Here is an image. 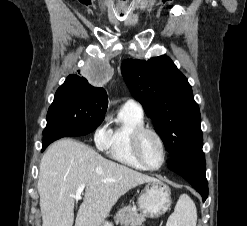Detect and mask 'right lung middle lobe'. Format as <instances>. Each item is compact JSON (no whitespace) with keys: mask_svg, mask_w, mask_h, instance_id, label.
I'll list each match as a JSON object with an SVG mask.
<instances>
[{"mask_svg":"<svg viewBox=\"0 0 247 226\" xmlns=\"http://www.w3.org/2000/svg\"><path fill=\"white\" fill-rule=\"evenodd\" d=\"M106 110L107 104L102 99L71 85L62 84L49 107L43 135H86L102 123Z\"/></svg>","mask_w":247,"mask_h":226,"instance_id":"right-lung-middle-lobe-1","label":"right lung middle lobe"}]
</instances>
